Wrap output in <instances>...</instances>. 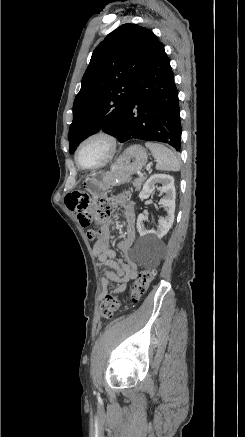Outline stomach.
Masks as SVG:
<instances>
[{"label": "stomach", "mask_w": 245, "mask_h": 437, "mask_svg": "<svg viewBox=\"0 0 245 437\" xmlns=\"http://www.w3.org/2000/svg\"><path fill=\"white\" fill-rule=\"evenodd\" d=\"M147 150L138 144L129 146L107 172H92L85 177L82 187L93 197L99 198L114 186L130 181L147 162Z\"/></svg>", "instance_id": "obj_1"}]
</instances>
